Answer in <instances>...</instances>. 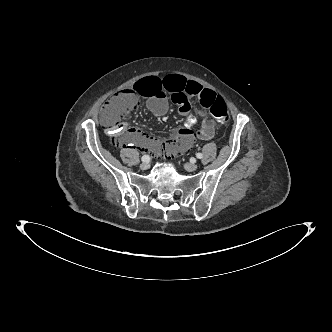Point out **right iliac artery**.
Returning <instances> with one entry per match:
<instances>
[{
	"instance_id": "right-iliac-artery-1",
	"label": "right iliac artery",
	"mask_w": 332,
	"mask_h": 332,
	"mask_svg": "<svg viewBox=\"0 0 332 332\" xmlns=\"http://www.w3.org/2000/svg\"><path fill=\"white\" fill-rule=\"evenodd\" d=\"M141 160L143 162H148L150 160V157H149V155H143L142 158H141Z\"/></svg>"
}]
</instances>
